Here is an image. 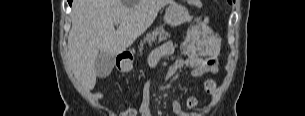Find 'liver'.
Masks as SVG:
<instances>
[{
    "label": "liver",
    "instance_id": "liver-1",
    "mask_svg": "<svg viewBox=\"0 0 305 116\" xmlns=\"http://www.w3.org/2000/svg\"><path fill=\"white\" fill-rule=\"evenodd\" d=\"M173 0H74L68 36V61L87 90L96 84L95 61L100 52H124ZM120 21L117 30L115 21Z\"/></svg>",
    "mask_w": 305,
    "mask_h": 116
}]
</instances>
